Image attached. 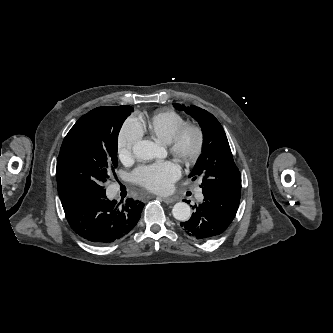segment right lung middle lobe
<instances>
[{
	"instance_id": "1",
	"label": "right lung middle lobe",
	"mask_w": 333,
	"mask_h": 333,
	"mask_svg": "<svg viewBox=\"0 0 333 333\" xmlns=\"http://www.w3.org/2000/svg\"><path fill=\"white\" fill-rule=\"evenodd\" d=\"M130 106H103L82 116L64 138L56 177L62 202L103 197L108 170L116 168L118 134Z\"/></svg>"
}]
</instances>
